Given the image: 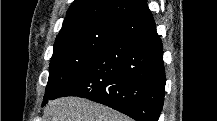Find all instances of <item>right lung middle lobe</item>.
<instances>
[{"mask_svg":"<svg viewBox=\"0 0 217 121\" xmlns=\"http://www.w3.org/2000/svg\"><path fill=\"white\" fill-rule=\"evenodd\" d=\"M126 22L101 19L79 24L57 36L44 100L87 68Z\"/></svg>","mask_w":217,"mask_h":121,"instance_id":"obj_1","label":"right lung middle lobe"}]
</instances>
